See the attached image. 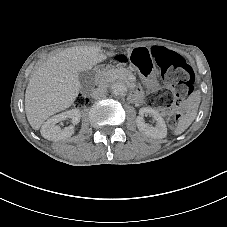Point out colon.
Wrapping results in <instances>:
<instances>
[{"instance_id":"colon-1","label":"colon","mask_w":227,"mask_h":227,"mask_svg":"<svg viewBox=\"0 0 227 227\" xmlns=\"http://www.w3.org/2000/svg\"><path fill=\"white\" fill-rule=\"evenodd\" d=\"M152 60L140 51H132L129 55H115L113 59L123 64H129L148 75L154 65L161 68L162 74L171 86L172 91L161 90L150 95L148 102L155 108H169L184 97L193 94L195 90L194 74L191 66L181 55L162 47L152 48ZM88 102L85 94H79L75 99L76 106H84ZM181 116V111L177 110L168 117V124L174 127Z\"/></svg>"}]
</instances>
